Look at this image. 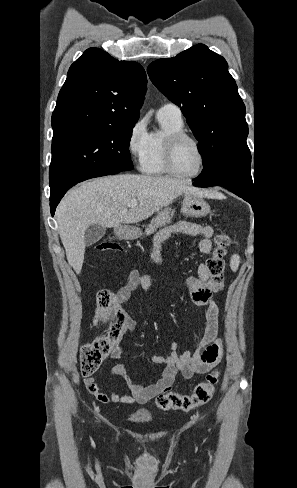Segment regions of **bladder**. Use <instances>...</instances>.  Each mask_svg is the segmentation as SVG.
<instances>
[{
    "label": "bladder",
    "mask_w": 297,
    "mask_h": 488,
    "mask_svg": "<svg viewBox=\"0 0 297 488\" xmlns=\"http://www.w3.org/2000/svg\"><path fill=\"white\" fill-rule=\"evenodd\" d=\"M128 420L135 424H147L151 422V417L142 411H136L128 416Z\"/></svg>",
    "instance_id": "obj_1"
}]
</instances>
